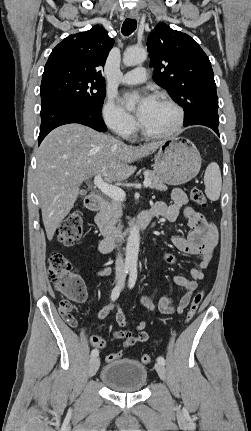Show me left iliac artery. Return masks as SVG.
<instances>
[{"label":"left iliac artery","mask_w":251,"mask_h":431,"mask_svg":"<svg viewBox=\"0 0 251 431\" xmlns=\"http://www.w3.org/2000/svg\"><path fill=\"white\" fill-rule=\"evenodd\" d=\"M136 279H137V268L136 266H132L130 268V276H129V281H128V286L130 289H132L136 283ZM157 361L162 363L163 365L165 364V359L162 356H159L157 358Z\"/></svg>","instance_id":"left-iliac-artery-1"}]
</instances>
